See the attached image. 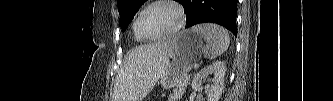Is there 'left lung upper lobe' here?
I'll return each mask as SVG.
<instances>
[{"label": "left lung upper lobe", "mask_w": 333, "mask_h": 101, "mask_svg": "<svg viewBox=\"0 0 333 101\" xmlns=\"http://www.w3.org/2000/svg\"><path fill=\"white\" fill-rule=\"evenodd\" d=\"M146 0H118V10L120 14V26L124 31L132 20L136 12L138 11L139 7L145 2ZM181 2L182 0H176Z\"/></svg>", "instance_id": "5c2ea615"}]
</instances>
